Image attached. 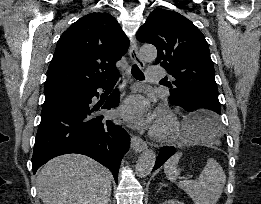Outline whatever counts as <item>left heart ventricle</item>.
Returning <instances> with one entry per match:
<instances>
[{
  "instance_id": "1",
  "label": "left heart ventricle",
  "mask_w": 261,
  "mask_h": 204,
  "mask_svg": "<svg viewBox=\"0 0 261 204\" xmlns=\"http://www.w3.org/2000/svg\"><path fill=\"white\" fill-rule=\"evenodd\" d=\"M156 125L159 127V128H161V127H163L164 126V123H163V121L162 120H156Z\"/></svg>"
}]
</instances>
